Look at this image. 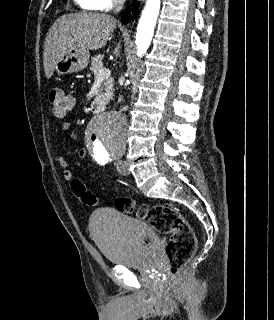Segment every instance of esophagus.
I'll return each mask as SVG.
<instances>
[{
	"label": "esophagus",
	"mask_w": 274,
	"mask_h": 320,
	"mask_svg": "<svg viewBox=\"0 0 274 320\" xmlns=\"http://www.w3.org/2000/svg\"><path fill=\"white\" fill-rule=\"evenodd\" d=\"M136 2H139L140 0H135Z\"/></svg>",
	"instance_id": "esophagus-1"
}]
</instances>
